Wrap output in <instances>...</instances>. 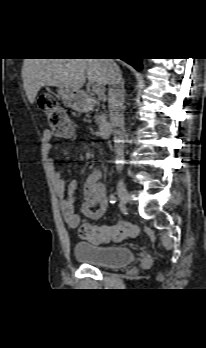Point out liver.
I'll return each mask as SVG.
<instances>
[{
	"label": "liver",
	"mask_w": 206,
	"mask_h": 348,
	"mask_svg": "<svg viewBox=\"0 0 206 348\" xmlns=\"http://www.w3.org/2000/svg\"><path fill=\"white\" fill-rule=\"evenodd\" d=\"M23 86L31 104L43 86L80 90L86 78L101 86L108 84L107 67L103 59H24Z\"/></svg>",
	"instance_id": "obj_1"
}]
</instances>
